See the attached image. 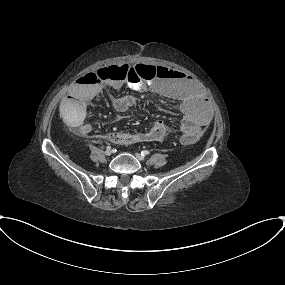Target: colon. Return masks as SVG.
<instances>
[{
    "label": "colon",
    "mask_w": 285,
    "mask_h": 285,
    "mask_svg": "<svg viewBox=\"0 0 285 285\" xmlns=\"http://www.w3.org/2000/svg\"><path fill=\"white\" fill-rule=\"evenodd\" d=\"M126 70L127 67H124ZM118 69L115 66H110L107 68L99 69L95 72L82 73L78 77V81L82 83H96L100 82L105 78H114L118 73ZM129 71L132 75L136 76L137 81H153L157 77H161L165 74V70L161 67H155L150 65L136 64L129 67ZM77 125V122L74 123ZM200 138V133L196 130L181 137V142L183 144L189 145L197 142Z\"/></svg>",
    "instance_id": "5ec220e1"
}]
</instances>
